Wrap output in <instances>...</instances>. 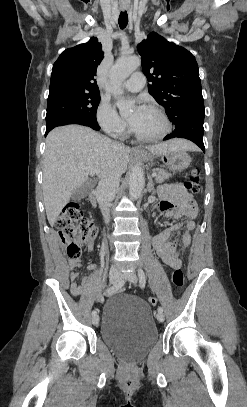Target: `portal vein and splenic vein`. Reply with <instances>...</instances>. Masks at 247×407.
Instances as JSON below:
<instances>
[{"instance_id": "1", "label": "portal vein and splenic vein", "mask_w": 247, "mask_h": 407, "mask_svg": "<svg viewBox=\"0 0 247 407\" xmlns=\"http://www.w3.org/2000/svg\"><path fill=\"white\" fill-rule=\"evenodd\" d=\"M87 171H88L91 175H94V174L100 172V171H98L97 169H92V168H88ZM156 175H157L156 172H153V173H152V177H155Z\"/></svg>"}]
</instances>
